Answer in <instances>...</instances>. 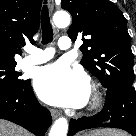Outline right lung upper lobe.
I'll list each match as a JSON object with an SVG mask.
<instances>
[{"mask_svg": "<svg viewBox=\"0 0 136 136\" xmlns=\"http://www.w3.org/2000/svg\"><path fill=\"white\" fill-rule=\"evenodd\" d=\"M42 0H0V63H14L25 40L39 29Z\"/></svg>", "mask_w": 136, "mask_h": 136, "instance_id": "cb5924a9", "label": "right lung upper lobe"}]
</instances>
